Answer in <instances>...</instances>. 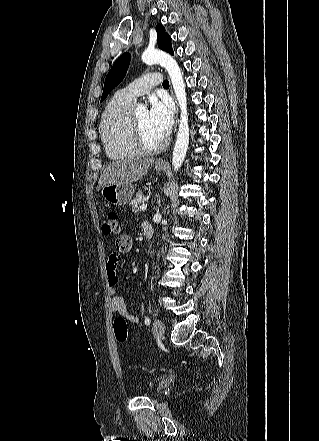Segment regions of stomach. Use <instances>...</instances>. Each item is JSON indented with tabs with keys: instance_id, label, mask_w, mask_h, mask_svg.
<instances>
[{
	"instance_id": "1",
	"label": "stomach",
	"mask_w": 319,
	"mask_h": 441,
	"mask_svg": "<svg viewBox=\"0 0 319 441\" xmlns=\"http://www.w3.org/2000/svg\"><path fill=\"white\" fill-rule=\"evenodd\" d=\"M158 172L164 170L163 167L155 166ZM135 193V188L132 183L109 184L102 188L101 195L104 200L111 205H125L128 204Z\"/></svg>"
}]
</instances>
